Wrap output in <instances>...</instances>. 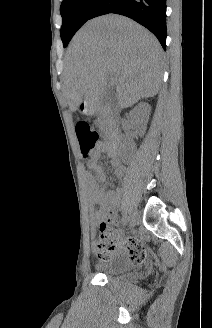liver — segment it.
<instances>
[{"mask_svg":"<svg viewBox=\"0 0 212 328\" xmlns=\"http://www.w3.org/2000/svg\"><path fill=\"white\" fill-rule=\"evenodd\" d=\"M162 48L156 37L120 15L88 21L73 37L66 53L64 94L75 111L106 90L109 74L118 105L127 108L153 97L161 82Z\"/></svg>","mask_w":212,"mask_h":328,"instance_id":"6515ba94","label":"liver"}]
</instances>
